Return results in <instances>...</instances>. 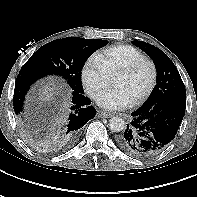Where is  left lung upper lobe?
Returning a JSON list of instances; mask_svg holds the SVG:
<instances>
[{"instance_id":"left-lung-upper-lobe-1","label":"left lung upper lobe","mask_w":197,"mask_h":197,"mask_svg":"<svg viewBox=\"0 0 197 197\" xmlns=\"http://www.w3.org/2000/svg\"><path fill=\"white\" fill-rule=\"evenodd\" d=\"M132 43L141 48L154 61L157 70V85L141 107L150 108L165 97L186 94L177 68L164 52L143 41H132Z\"/></svg>"}]
</instances>
